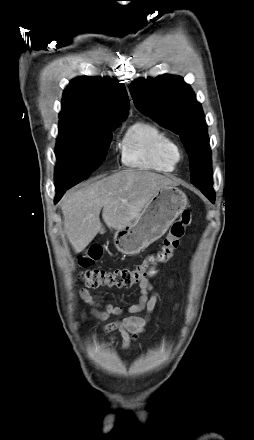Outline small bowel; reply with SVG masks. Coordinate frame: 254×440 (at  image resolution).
<instances>
[{
	"label": "small bowel",
	"instance_id": "small-bowel-1",
	"mask_svg": "<svg viewBox=\"0 0 254 440\" xmlns=\"http://www.w3.org/2000/svg\"><path fill=\"white\" fill-rule=\"evenodd\" d=\"M155 266H151L147 276L140 280V296L137 303L128 307L127 311L131 315L121 320L108 323L103 326V331H118L122 337V347L127 349L131 343L144 331L145 326L150 320V315L154 311L158 295L153 291L154 285L152 278L156 275ZM81 299L90 306V313L99 320H106L111 315H120L123 310L119 306L104 305L99 303V296L92 294L89 290L82 288L79 291ZM102 307V308H101ZM146 311L145 316L137 315Z\"/></svg>",
	"mask_w": 254,
	"mask_h": 440
}]
</instances>
